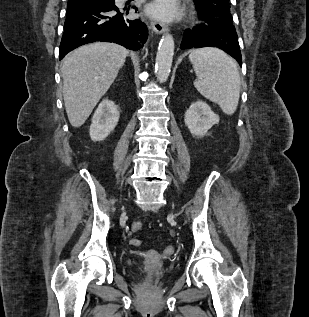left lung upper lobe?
Returning <instances> with one entry per match:
<instances>
[{"label": "left lung upper lobe", "mask_w": 309, "mask_h": 317, "mask_svg": "<svg viewBox=\"0 0 309 317\" xmlns=\"http://www.w3.org/2000/svg\"><path fill=\"white\" fill-rule=\"evenodd\" d=\"M199 14L222 28L235 29L230 14V0H194Z\"/></svg>", "instance_id": "obj_1"}]
</instances>
